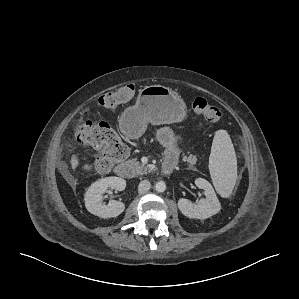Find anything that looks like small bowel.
Listing matches in <instances>:
<instances>
[{"mask_svg": "<svg viewBox=\"0 0 299 299\" xmlns=\"http://www.w3.org/2000/svg\"><path fill=\"white\" fill-rule=\"evenodd\" d=\"M157 139L165 147L164 161L177 163L180 155V138L168 127L161 128L157 133Z\"/></svg>", "mask_w": 299, "mask_h": 299, "instance_id": "c3829d8e", "label": "small bowel"}]
</instances>
